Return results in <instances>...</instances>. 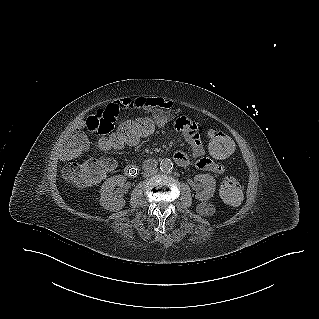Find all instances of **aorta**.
Instances as JSON below:
<instances>
[{
    "label": "aorta",
    "mask_w": 319,
    "mask_h": 319,
    "mask_svg": "<svg viewBox=\"0 0 319 319\" xmlns=\"http://www.w3.org/2000/svg\"><path fill=\"white\" fill-rule=\"evenodd\" d=\"M160 170L163 173H170L173 170V163L170 159L166 158L160 162Z\"/></svg>",
    "instance_id": "obj_1"
}]
</instances>
